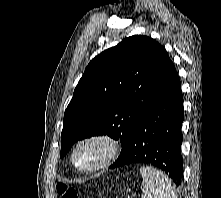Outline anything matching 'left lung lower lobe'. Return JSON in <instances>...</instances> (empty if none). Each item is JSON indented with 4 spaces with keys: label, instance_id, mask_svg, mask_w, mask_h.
Here are the masks:
<instances>
[{
    "label": "left lung lower lobe",
    "instance_id": "obj_1",
    "mask_svg": "<svg viewBox=\"0 0 221 198\" xmlns=\"http://www.w3.org/2000/svg\"><path fill=\"white\" fill-rule=\"evenodd\" d=\"M183 120L181 85L173 66L160 94L140 118L120 156L110 168L131 163H148L164 170L176 185H180L183 176Z\"/></svg>",
    "mask_w": 221,
    "mask_h": 198
}]
</instances>
